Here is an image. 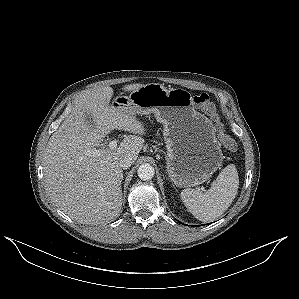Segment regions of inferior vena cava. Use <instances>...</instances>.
<instances>
[{
  "label": "inferior vena cava",
  "instance_id": "inferior-vena-cava-1",
  "mask_svg": "<svg viewBox=\"0 0 299 299\" xmlns=\"http://www.w3.org/2000/svg\"><path fill=\"white\" fill-rule=\"evenodd\" d=\"M132 162L133 158L131 157V155L126 154L119 159L118 164L122 169H127L131 166Z\"/></svg>",
  "mask_w": 299,
  "mask_h": 299
}]
</instances>
